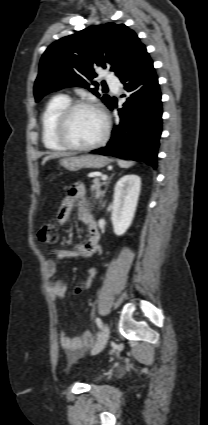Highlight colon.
Wrapping results in <instances>:
<instances>
[{"mask_svg": "<svg viewBox=\"0 0 208 425\" xmlns=\"http://www.w3.org/2000/svg\"><path fill=\"white\" fill-rule=\"evenodd\" d=\"M39 238L43 243L54 244L58 239V231L53 223L44 224L39 232ZM99 282L98 271L96 269H90L80 279L76 286V293H80L85 289L95 288Z\"/></svg>", "mask_w": 208, "mask_h": 425, "instance_id": "obj_1", "label": "colon"}]
</instances>
